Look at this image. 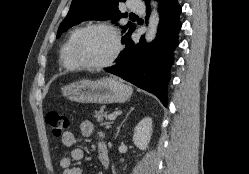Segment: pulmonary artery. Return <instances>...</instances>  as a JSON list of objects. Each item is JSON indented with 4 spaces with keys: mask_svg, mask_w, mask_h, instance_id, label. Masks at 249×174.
I'll list each match as a JSON object with an SVG mask.
<instances>
[{
    "mask_svg": "<svg viewBox=\"0 0 249 174\" xmlns=\"http://www.w3.org/2000/svg\"><path fill=\"white\" fill-rule=\"evenodd\" d=\"M129 8L135 14H142L145 12V5L139 0H130Z\"/></svg>",
    "mask_w": 249,
    "mask_h": 174,
    "instance_id": "pulmonary-artery-1",
    "label": "pulmonary artery"
}]
</instances>
